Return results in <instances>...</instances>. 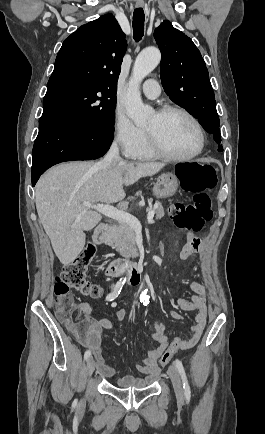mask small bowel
Returning <instances> with one entry per match:
<instances>
[{
    "mask_svg": "<svg viewBox=\"0 0 265 434\" xmlns=\"http://www.w3.org/2000/svg\"><path fill=\"white\" fill-rule=\"evenodd\" d=\"M202 239L193 234H189L187 242L183 246L180 254L179 260L181 262H186L190 257L199 253L202 245ZM187 286L189 287L191 294L187 298H179L176 303L177 306L183 311H196L193 319V323L190 327V334L185 337V343L182 349H191L200 339L203 329L206 324L208 305H207V288L194 280H188ZM83 314V319L81 322V329L78 333V337L83 346L93 351L96 356L102 353L101 342L102 336L111 328V321L108 318H100L98 320L91 316L92 309L86 304H79L75 306ZM170 315L176 320H184L185 316L178 311H171ZM115 316L118 320H123L126 316V311L124 309H119L116 311ZM154 333L152 334V339L157 342V347L155 349H150L147 351L145 357L137 365V369L144 374V378H136L131 380L130 378H122L120 380V385L122 387H130L135 385L136 387H149L150 383L156 381L159 378L160 373L157 371L156 362L157 359L165 351L168 337L164 332V324L161 320H156L154 324ZM97 364L103 363L102 357L96 358Z\"/></svg>",
    "mask_w": 265,
    "mask_h": 434,
    "instance_id": "c3829d8e",
    "label": "small bowel"
}]
</instances>
